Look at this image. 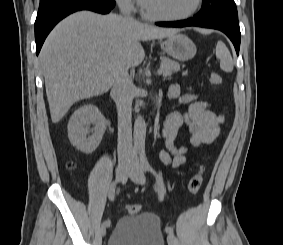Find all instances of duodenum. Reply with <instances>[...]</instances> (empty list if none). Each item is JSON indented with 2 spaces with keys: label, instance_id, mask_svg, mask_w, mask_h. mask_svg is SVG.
Instances as JSON below:
<instances>
[{
  "label": "duodenum",
  "instance_id": "duodenum-1",
  "mask_svg": "<svg viewBox=\"0 0 283 245\" xmlns=\"http://www.w3.org/2000/svg\"><path fill=\"white\" fill-rule=\"evenodd\" d=\"M161 106V103L158 104V106L156 107V109L153 111L152 115H154L160 108Z\"/></svg>",
  "mask_w": 283,
  "mask_h": 245
}]
</instances>
